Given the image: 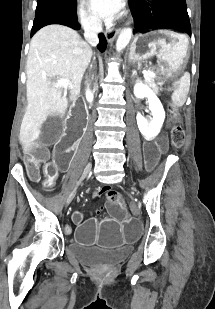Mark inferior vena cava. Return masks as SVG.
<instances>
[{
  "mask_svg": "<svg viewBox=\"0 0 215 309\" xmlns=\"http://www.w3.org/2000/svg\"><path fill=\"white\" fill-rule=\"evenodd\" d=\"M82 26L84 28V36L87 42L92 44V46H96L99 42L98 34L103 30L100 18H97V16H90L88 20L83 22ZM85 94L88 102H92L94 96L88 78L85 80Z\"/></svg>",
  "mask_w": 215,
  "mask_h": 309,
  "instance_id": "1",
  "label": "inferior vena cava"
}]
</instances>
